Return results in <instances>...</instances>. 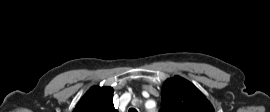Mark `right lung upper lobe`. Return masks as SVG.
Segmentation results:
<instances>
[{"label": "right lung upper lobe", "instance_id": "1", "mask_svg": "<svg viewBox=\"0 0 270 112\" xmlns=\"http://www.w3.org/2000/svg\"><path fill=\"white\" fill-rule=\"evenodd\" d=\"M73 112H118L113 105V88H91Z\"/></svg>", "mask_w": 270, "mask_h": 112}]
</instances>
